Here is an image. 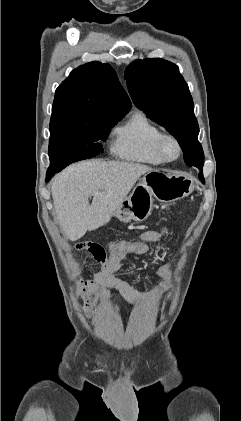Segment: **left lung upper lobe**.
<instances>
[{
    "mask_svg": "<svg viewBox=\"0 0 241 421\" xmlns=\"http://www.w3.org/2000/svg\"><path fill=\"white\" fill-rule=\"evenodd\" d=\"M125 79L134 104L177 139L185 163L202 170L193 100L178 66L160 58L137 60L127 67Z\"/></svg>",
    "mask_w": 241,
    "mask_h": 421,
    "instance_id": "obj_1",
    "label": "left lung upper lobe"
}]
</instances>
